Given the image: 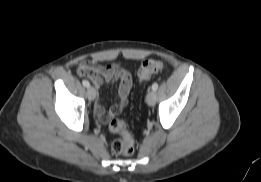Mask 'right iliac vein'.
Here are the masks:
<instances>
[{
  "instance_id": "1",
  "label": "right iliac vein",
  "mask_w": 261,
  "mask_h": 182,
  "mask_svg": "<svg viewBox=\"0 0 261 182\" xmlns=\"http://www.w3.org/2000/svg\"><path fill=\"white\" fill-rule=\"evenodd\" d=\"M87 95L90 100H94L96 97V90L93 87H88Z\"/></svg>"
}]
</instances>
